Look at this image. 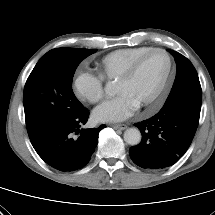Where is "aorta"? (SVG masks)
I'll return each instance as SVG.
<instances>
[{
    "mask_svg": "<svg viewBox=\"0 0 215 215\" xmlns=\"http://www.w3.org/2000/svg\"><path fill=\"white\" fill-rule=\"evenodd\" d=\"M105 92L108 95L113 94V87L111 83H107L105 86ZM124 140L127 144L135 146L141 141V133L137 128H128L124 132Z\"/></svg>",
    "mask_w": 215,
    "mask_h": 215,
    "instance_id": "aorta-1",
    "label": "aorta"
}]
</instances>
